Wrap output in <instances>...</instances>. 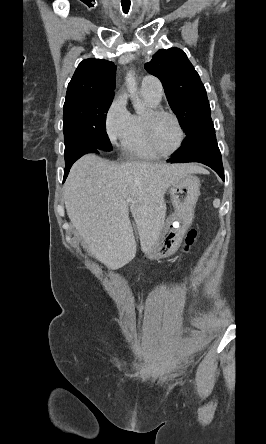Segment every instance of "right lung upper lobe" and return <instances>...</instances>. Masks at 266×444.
Instances as JSON below:
<instances>
[{
  "label": "right lung upper lobe",
  "mask_w": 266,
  "mask_h": 444,
  "mask_svg": "<svg viewBox=\"0 0 266 444\" xmlns=\"http://www.w3.org/2000/svg\"><path fill=\"white\" fill-rule=\"evenodd\" d=\"M116 67L103 59H86L68 84L65 103L94 96L114 95Z\"/></svg>",
  "instance_id": "obj_1"
}]
</instances>
